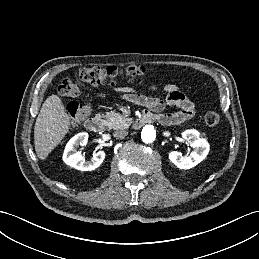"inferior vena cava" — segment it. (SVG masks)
<instances>
[{
	"instance_id": "obj_1",
	"label": "inferior vena cava",
	"mask_w": 259,
	"mask_h": 259,
	"mask_svg": "<svg viewBox=\"0 0 259 259\" xmlns=\"http://www.w3.org/2000/svg\"><path fill=\"white\" fill-rule=\"evenodd\" d=\"M128 132L124 129H120L114 132V137L118 139H123L127 136Z\"/></svg>"
}]
</instances>
